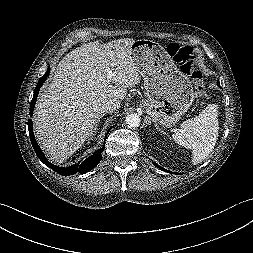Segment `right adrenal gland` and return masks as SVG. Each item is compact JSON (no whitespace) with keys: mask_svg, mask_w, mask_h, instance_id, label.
Masks as SVG:
<instances>
[{"mask_svg":"<svg viewBox=\"0 0 253 253\" xmlns=\"http://www.w3.org/2000/svg\"><path fill=\"white\" fill-rule=\"evenodd\" d=\"M103 116H104V114L101 115V118H102ZM98 124H99V123H98ZM98 124H97V127H98ZM97 127L95 128V131L97 130ZM95 131H94V132H95Z\"/></svg>","mask_w":253,"mask_h":253,"instance_id":"obj_1","label":"right adrenal gland"}]
</instances>
